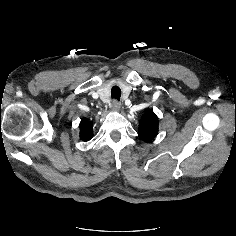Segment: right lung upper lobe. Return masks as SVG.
Masks as SVG:
<instances>
[{
  "mask_svg": "<svg viewBox=\"0 0 236 236\" xmlns=\"http://www.w3.org/2000/svg\"><path fill=\"white\" fill-rule=\"evenodd\" d=\"M79 127H80V138L83 141L90 140L93 136L92 122H89L86 118H83L80 122Z\"/></svg>",
  "mask_w": 236,
  "mask_h": 236,
  "instance_id": "obj_1",
  "label": "right lung upper lobe"
}]
</instances>
